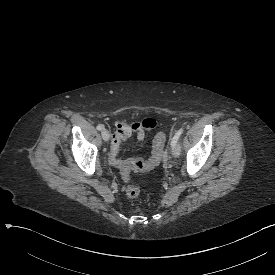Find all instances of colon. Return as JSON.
<instances>
[{
	"instance_id": "1",
	"label": "colon",
	"mask_w": 275,
	"mask_h": 275,
	"mask_svg": "<svg viewBox=\"0 0 275 275\" xmlns=\"http://www.w3.org/2000/svg\"><path fill=\"white\" fill-rule=\"evenodd\" d=\"M166 136L167 135L164 130L156 133L153 138L154 146L152 155L148 160L128 159L125 162V165L121 167V176L126 183L124 187L125 193L129 198H137L140 194L139 186L129 182L130 173L133 170H136L137 172H142L143 170L149 171L157 167L163 155V143L166 141Z\"/></svg>"
}]
</instances>
